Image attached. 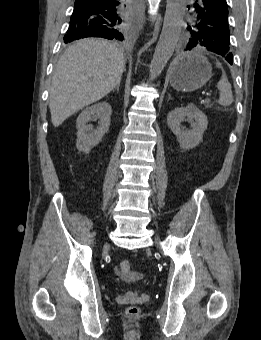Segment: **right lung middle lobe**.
Masks as SVG:
<instances>
[{
	"mask_svg": "<svg viewBox=\"0 0 261 340\" xmlns=\"http://www.w3.org/2000/svg\"><path fill=\"white\" fill-rule=\"evenodd\" d=\"M129 18V13L128 11L125 12L124 17L122 19L119 20V22H117L114 27L113 30L111 32H109V34L111 35L110 38L108 39H119V40H123L124 36H126L128 34V27H127V20ZM80 38H84V36L82 34H66L64 36V42L65 43H69L72 42L74 40H78Z\"/></svg>",
	"mask_w": 261,
	"mask_h": 340,
	"instance_id": "1",
	"label": "right lung middle lobe"
}]
</instances>
